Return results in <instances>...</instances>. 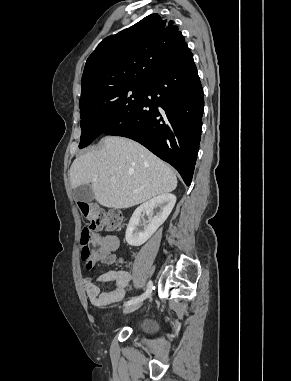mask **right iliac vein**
Returning a JSON list of instances; mask_svg holds the SVG:
<instances>
[{
  "label": "right iliac vein",
  "mask_w": 291,
  "mask_h": 381,
  "mask_svg": "<svg viewBox=\"0 0 291 381\" xmlns=\"http://www.w3.org/2000/svg\"><path fill=\"white\" fill-rule=\"evenodd\" d=\"M142 305V301L140 302H136V303H133V304H130L128 305L124 310H123V313L124 314H128V313H131L137 309H139Z\"/></svg>",
  "instance_id": "obj_1"
}]
</instances>
